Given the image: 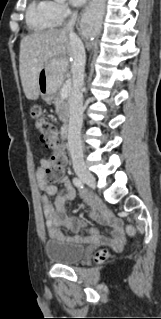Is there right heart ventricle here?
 Returning a JSON list of instances; mask_svg holds the SVG:
<instances>
[{"instance_id": "right-heart-ventricle-1", "label": "right heart ventricle", "mask_w": 161, "mask_h": 319, "mask_svg": "<svg viewBox=\"0 0 161 319\" xmlns=\"http://www.w3.org/2000/svg\"><path fill=\"white\" fill-rule=\"evenodd\" d=\"M27 23L34 32L50 30L58 25L52 2L34 0L27 9Z\"/></svg>"}]
</instances>
